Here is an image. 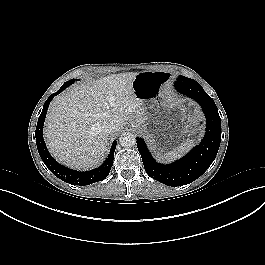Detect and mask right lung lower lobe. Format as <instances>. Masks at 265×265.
I'll return each mask as SVG.
<instances>
[{
	"label": "right lung lower lobe",
	"instance_id": "obj_1",
	"mask_svg": "<svg viewBox=\"0 0 265 265\" xmlns=\"http://www.w3.org/2000/svg\"><path fill=\"white\" fill-rule=\"evenodd\" d=\"M65 88L61 86V88L54 94L50 95V97L46 100V102L43 105V110L39 116L37 127H36V144L37 149L39 152V155L41 159L43 160L44 164L47 166V168L59 179L72 184V185H78V186H85L92 184L94 182L102 181L104 180L113 165V159H114V151L116 148V141L113 142L112 148L110 151V154L108 158L105 160V162L98 168L86 171V172H77L74 170H71L69 168H66L62 165H60L58 162L55 161L54 158L50 155L48 152L44 139H43V125L45 116L48 110V106L53 99L54 96L62 92Z\"/></svg>",
	"mask_w": 265,
	"mask_h": 265
}]
</instances>
